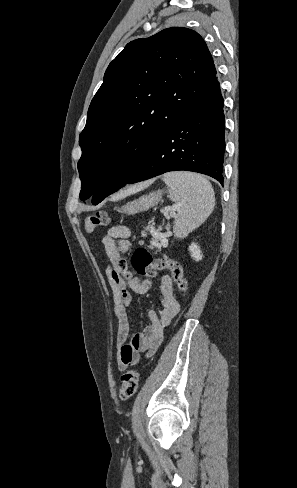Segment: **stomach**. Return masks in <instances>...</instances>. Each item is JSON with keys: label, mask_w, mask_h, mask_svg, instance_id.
<instances>
[{"label": "stomach", "mask_w": 297, "mask_h": 488, "mask_svg": "<svg viewBox=\"0 0 297 488\" xmlns=\"http://www.w3.org/2000/svg\"><path fill=\"white\" fill-rule=\"evenodd\" d=\"M162 190L151 192L147 195L141 196L137 200L127 203L122 206L119 211L127 215L137 214L142 211H146L156 206L159 200L162 198Z\"/></svg>", "instance_id": "0dacf381"}]
</instances>
